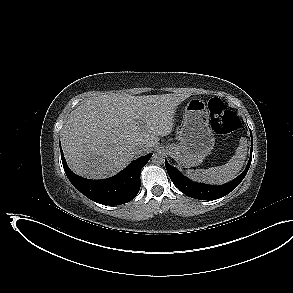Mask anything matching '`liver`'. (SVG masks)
Returning a JSON list of instances; mask_svg holds the SVG:
<instances>
[{
    "label": "liver",
    "mask_w": 293,
    "mask_h": 293,
    "mask_svg": "<svg viewBox=\"0 0 293 293\" xmlns=\"http://www.w3.org/2000/svg\"><path fill=\"white\" fill-rule=\"evenodd\" d=\"M189 96L105 94L87 100L69 114L61 130L69 168L90 179L117 174L135 155L151 151L159 136L172 132L176 108Z\"/></svg>",
    "instance_id": "6515ba94"
}]
</instances>
